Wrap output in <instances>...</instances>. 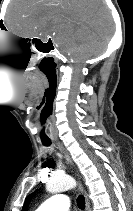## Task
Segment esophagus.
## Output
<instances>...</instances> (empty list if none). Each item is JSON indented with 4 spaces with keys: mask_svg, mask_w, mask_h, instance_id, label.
I'll return each instance as SVG.
<instances>
[{
    "mask_svg": "<svg viewBox=\"0 0 133 211\" xmlns=\"http://www.w3.org/2000/svg\"><path fill=\"white\" fill-rule=\"evenodd\" d=\"M58 149L60 150V152L64 155L66 161L68 164H71L72 165V161H71V158L70 156L68 155V153L65 151V149L63 148L62 145H58ZM77 176V179H78V187H79V190L80 192L83 194L84 198H85V210L86 211H91V208H90V202H89V198H88V195H87V192L86 190L84 189L81 181H80V176L79 174L77 173L76 174Z\"/></svg>",
    "mask_w": 133,
    "mask_h": 211,
    "instance_id": "esophagus-1",
    "label": "esophagus"
}]
</instances>
